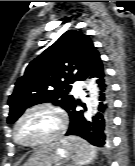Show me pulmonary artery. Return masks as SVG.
Here are the masks:
<instances>
[{
	"mask_svg": "<svg viewBox=\"0 0 135 166\" xmlns=\"http://www.w3.org/2000/svg\"><path fill=\"white\" fill-rule=\"evenodd\" d=\"M73 92L76 94V95H79L81 94V88H80V85L78 82H75L74 86H73Z\"/></svg>",
	"mask_w": 135,
	"mask_h": 166,
	"instance_id": "1",
	"label": "pulmonary artery"
}]
</instances>
